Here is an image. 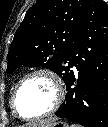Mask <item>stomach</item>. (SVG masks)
Instances as JSON below:
<instances>
[{"label": "stomach", "mask_w": 108, "mask_h": 127, "mask_svg": "<svg viewBox=\"0 0 108 127\" xmlns=\"http://www.w3.org/2000/svg\"><path fill=\"white\" fill-rule=\"evenodd\" d=\"M38 127H70L68 123L64 121H58L51 123L49 126H38Z\"/></svg>", "instance_id": "obj_1"}]
</instances>
